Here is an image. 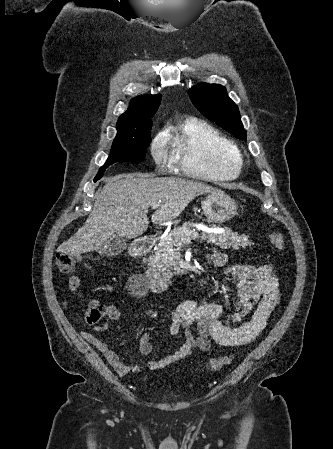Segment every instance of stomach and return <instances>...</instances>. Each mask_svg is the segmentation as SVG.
<instances>
[{
  "label": "stomach",
  "mask_w": 333,
  "mask_h": 449,
  "mask_svg": "<svg viewBox=\"0 0 333 449\" xmlns=\"http://www.w3.org/2000/svg\"><path fill=\"white\" fill-rule=\"evenodd\" d=\"M202 210L209 222L221 224L231 220L236 215L237 204L234 199L218 191L209 194L202 201Z\"/></svg>",
  "instance_id": "1"
}]
</instances>
